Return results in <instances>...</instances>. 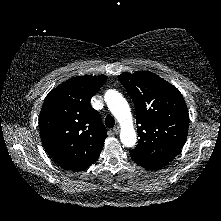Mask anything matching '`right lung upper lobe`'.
<instances>
[{"label":"right lung upper lobe","mask_w":221,"mask_h":221,"mask_svg":"<svg viewBox=\"0 0 221 221\" xmlns=\"http://www.w3.org/2000/svg\"><path fill=\"white\" fill-rule=\"evenodd\" d=\"M107 76L75 77L47 95L40 112V136L46 152L61 167L79 171L98 158L107 131L90 100Z\"/></svg>","instance_id":"cb5924a9"}]
</instances>
